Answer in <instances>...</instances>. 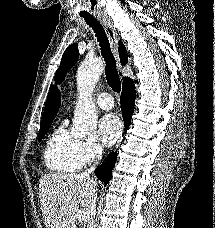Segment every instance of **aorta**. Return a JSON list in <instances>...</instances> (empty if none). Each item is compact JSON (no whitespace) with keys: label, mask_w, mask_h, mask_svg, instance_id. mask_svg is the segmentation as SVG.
<instances>
[{"label":"aorta","mask_w":215,"mask_h":228,"mask_svg":"<svg viewBox=\"0 0 215 228\" xmlns=\"http://www.w3.org/2000/svg\"><path fill=\"white\" fill-rule=\"evenodd\" d=\"M103 70V64L98 58H95V60H85L80 68H78V90L85 92L87 96L76 104L72 126V132L75 136L85 138V136H94L96 132L97 114L90 96Z\"/></svg>","instance_id":"1"}]
</instances>
